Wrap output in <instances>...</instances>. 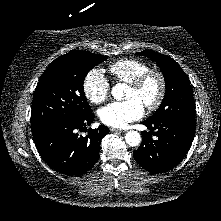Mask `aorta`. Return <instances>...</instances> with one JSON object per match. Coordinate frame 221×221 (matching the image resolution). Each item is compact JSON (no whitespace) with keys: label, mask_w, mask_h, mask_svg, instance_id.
<instances>
[{"label":"aorta","mask_w":221,"mask_h":221,"mask_svg":"<svg viewBox=\"0 0 221 221\" xmlns=\"http://www.w3.org/2000/svg\"><path fill=\"white\" fill-rule=\"evenodd\" d=\"M125 91L126 85L119 83L112 88L111 94L116 100H122ZM125 141L129 146H137L141 142V136L137 131H128L125 135Z\"/></svg>","instance_id":"762f6f07"}]
</instances>
